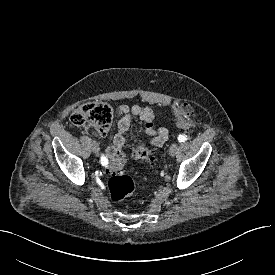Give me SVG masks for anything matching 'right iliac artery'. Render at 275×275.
Masks as SVG:
<instances>
[{"label":"right iliac artery","mask_w":275,"mask_h":275,"mask_svg":"<svg viewBox=\"0 0 275 275\" xmlns=\"http://www.w3.org/2000/svg\"><path fill=\"white\" fill-rule=\"evenodd\" d=\"M100 162L103 166H106L108 164V159L104 155H101Z\"/></svg>","instance_id":"right-iliac-artery-1"}]
</instances>
